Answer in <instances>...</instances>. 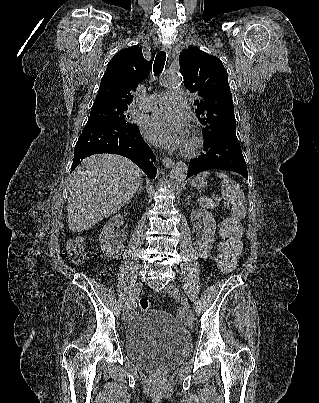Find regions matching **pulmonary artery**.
I'll list each match as a JSON object with an SVG mask.
<instances>
[{"label": "pulmonary artery", "instance_id": "obj_1", "mask_svg": "<svg viewBox=\"0 0 319 403\" xmlns=\"http://www.w3.org/2000/svg\"><path fill=\"white\" fill-rule=\"evenodd\" d=\"M186 106V94L182 89L152 94L140 105L143 110H164L171 107Z\"/></svg>", "mask_w": 319, "mask_h": 403}]
</instances>
